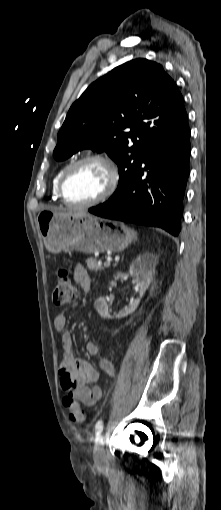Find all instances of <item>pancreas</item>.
<instances>
[{
    "label": "pancreas",
    "mask_w": 221,
    "mask_h": 510,
    "mask_svg": "<svg viewBox=\"0 0 221 510\" xmlns=\"http://www.w3.org/2000/svg\"><path fill=\"white\" fill-rule=\"evenodd\" d=\"M88 269L92 271H102L104 269V266L98 263V261L95 258H89L86 261Z\"/></svg>",
    "instance_id": "obj_1"
}]
</instances>
